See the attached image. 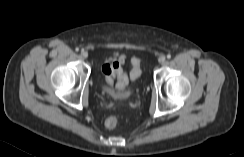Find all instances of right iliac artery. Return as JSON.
<instances>
[{
  "instance_id": "right-iliac-artery-1",
  "label": "right iliac artery",
  "mask_w": 244,
  "mask_h": 157,
  "mask_svg": "<svg viewBox=\"0 0 244 157\" xmlns=\"http://www.w3.org/2000/svg\"><path fill=\"white\" fill-rule=\"evenodd\" d=\"M76 51H79V48H76Z\"/></svg>"
}]
</instances>
